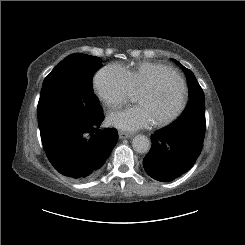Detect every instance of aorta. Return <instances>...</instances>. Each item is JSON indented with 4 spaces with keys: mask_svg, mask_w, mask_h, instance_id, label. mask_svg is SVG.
<instances>
[{
    "mask_svg": "<svg viewBox=\"0 0 245 245\" xmlns=\"http://www.w3.org/2000/svg\"><path fill=\"white\" fill-rule=\"evenodd\" d=\"M133 149L138 153H146L150 150V141L144 135H137L132 141Z\"/></svg>",
    "mask_w": 245,
    "mask_h": 245,
    "instance_id": "obj_1",
    "label": "aorta"
}]
</instances>
